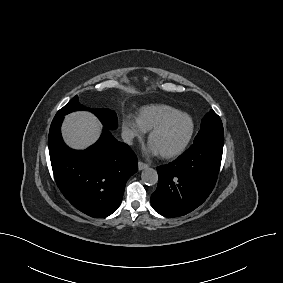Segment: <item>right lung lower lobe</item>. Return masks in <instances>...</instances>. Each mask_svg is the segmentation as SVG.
I'll return each instance as SVG.
<instances>
[{
    "label": "right lung lower lobe",
    "instance_id": "obj_1",
    "mask_svg": "<svg viewBox=\"0 0 283 283\" xmlns=\"http://www.w3.org/2000/svg\"><path fill=\"white\" fill-rule=\"evenodd\" d=\"M63 118L55 115L48 137L56 184L79 211L90 217H107L117 210L128 178L137 172V158L106 127L87 150L67 147L60 132Z\"/></svg>",
    "mask_w": 283,
    "mask_h": 283
}]
</instances>
